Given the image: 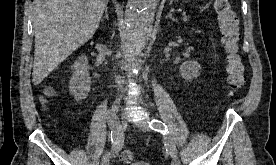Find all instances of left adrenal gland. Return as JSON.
I'll return each mask as SVG.
<instances>
[{
    "label": "left adrenal gland",
    "instance_id": "left-adrenal-gland-1",
    "mask_svg": "<svg viewBox=\"0 0 276 165\" xmlns=\"http://www.w3.org/2000/svg\"><path fill=\"white\" fill-rule=\"evenodd\" d=\"M166 18H170L171 20L175 21L176 19L173 17L172 12H169Z\"/></svg>",
    "mask_w": 276,
    "mask_h": 165
}]
</instances>
